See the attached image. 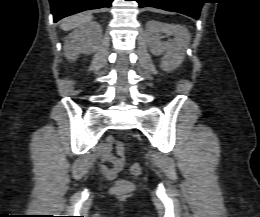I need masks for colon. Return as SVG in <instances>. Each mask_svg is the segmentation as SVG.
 Returning a JSON list of instances; mask_svg holds the SVG:
<instances>
[{"instance_id": "5ec220e1", "label": "colon", "mask_w": 260, "mask_h": 217, "mask_svg": "<svg viewBox=\"0 0 260 217\" xmlns=\"http://www.w3.org/2000/svg\"><path fill=\"white\" fill-rule=\"evenodd\" d=\"M130 171L132 174H140L142 172V164L141 163H138V162H134L132 163L131 167H130ZM129 185L126 181L124 180H119L115 183L114 185V191L115 192H118V193H121V192H124L128 189Z\"/></svg>"}]
</instances>
